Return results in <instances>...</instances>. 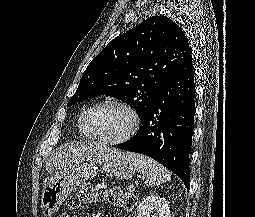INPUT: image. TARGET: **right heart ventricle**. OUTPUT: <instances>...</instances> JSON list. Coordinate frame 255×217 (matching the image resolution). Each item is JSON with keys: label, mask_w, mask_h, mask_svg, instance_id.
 Here are the masks:
<instances>
[{"label": "right heart ventricle", "mask_w": 255, "mask_h": 217, "mask_svg": "<svg viewBox=\"0 0 255 217\" xmlns=\"http://www.w3.org/2000/svg\"><path fill=\"white\" fill-rule=\"evenodd\" d=\"M77 124H78V129H79L80 136L83 137V138H89V136L85 133V131L82 127V116H80L78 118Z\"/></svg>", "instance_id": "obj_1"}]
</instances>
